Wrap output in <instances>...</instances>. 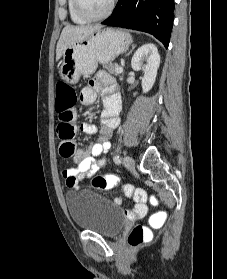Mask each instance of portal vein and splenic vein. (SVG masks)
Segmentation results:
<instances>
[{
    "instance_id": "1",
    "label": "portal vein and splenic vein",
    "mask_w": 227,
    "mask_h": 279,
    "mask_svg": "<svg viewBox=\"0 0 227 279\" xmlns=\"http://www.w3.org/2000/svg\"><path fill=\"white\" fill-rule=\"evenodd\" d=\"M116 72H117V73H122V72H123V68L120 67V66L117 67V68H116Z\"/></svg>"
}]
</instances>
